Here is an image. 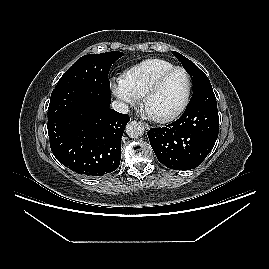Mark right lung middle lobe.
<instances>
[{"mask_svg": "<svg viewBox=\"0 0 269 269\" xmlns=\"http://www.w3.org/2000/svg\"><path fill=\"white\" fill-rule=\"evenodd\" d=\"M122 52L112 51L102 54H88L78 59L60 78L56 87L65 85L94 86L109 90L108 73L111 65ZM55 87V88H56Z\"/></svg>", "mask_w": 269, "mask_h": 269, "instance_id": "dd1d6c3e", "label": "right lung middle lobe"}]
</instances>
